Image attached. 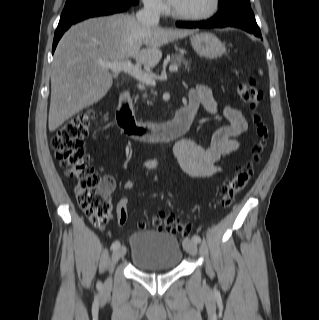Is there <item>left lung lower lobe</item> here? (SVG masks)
Wrapping results in <instances>:
<instances>
[{
	"mask_svg": "<svg viewBox=\"0 0 319 320\" xmlns=\"http://www.w3.org/2000/svg\"><path fill=\"white\" fill-rule=\"evenodd\" d=\"M181 28H223L236 27L261 37L260 29L256 23L251 7H232L218 10L215 16L201 22H177Z\"/></svg>",
	"mask_w": 319,
	"mask_h": 320,
	"instance_id": "obj_1",
	"label": "left lung lower lobe"
}]
</instances>
